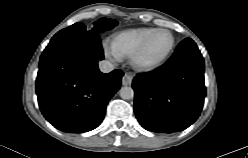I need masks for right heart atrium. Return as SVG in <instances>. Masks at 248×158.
Wrapping results in <instances>:
<instances>
[{"label": "right heart atrium", "instance_id": "d8ad5b80", "mask_svg": "<svg viewBox=\"0 0 248 158\" xmlns=\"http://www.w3.org/2000/svg\"><path fill=\"white\" fill-rule=\"evenodd\" d=\"M104 50L107 57L113 60H120L121 57L119 56V54L109 44L106 43L104 45Z\"/></svg>", "mask_w": 248, "mask_h": 158}]
</instances>
